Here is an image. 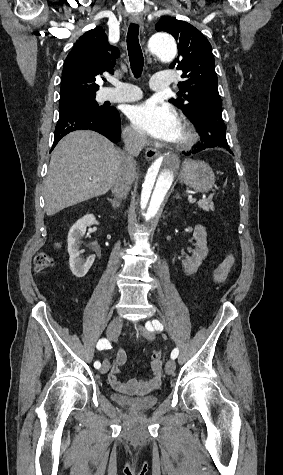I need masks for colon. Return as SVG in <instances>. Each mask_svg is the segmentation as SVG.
I'll return each mask as SVG.
<instances>
[{
  "label": "colon",
  "mask_w": 283,
  "mask_h": 475,
  "mask_svg": "<svg viewBox=\"0 0 283 475\" xmlns=\"http://www.w3.org/2000/svg\"><path fill=\"white\" fill-rule=\"evenodd\" d=\"M36 265L39 270H46L50 267L51 260L48 258V256L44 252H40L36 256ZM162 363V352L159 350H156L152 353L151 359H150V364L152 368H156Z\"/></svg>",
  "instance_id": "5ec220e1"
}]
</instances>
